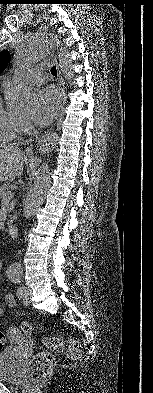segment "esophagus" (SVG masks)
Returning a JSON list of instances; mask_svg holds the SVG:
<instances>
[{
  "label": "esophagus",
  "mask_w": 153,
  "mask_h": 393,
  "mask_svg": "<svg viewBox=\"0 0 153 393\" xmlns=\"http://www.w3.org/2000/svg\"><path fill=\"white\" fill-rule=\"evenodd\" d=\"M56 67H57V72H58V86H59L60 93H61V107H62V106H64L65 101H66L65 87H64V82H63V78L61 75V71H60V68L57 63H56ZM27 152L28 153L32 152V148H27Z\"/></svg>",
  "instance_id": "esophagus-1"
}]
</instances>
